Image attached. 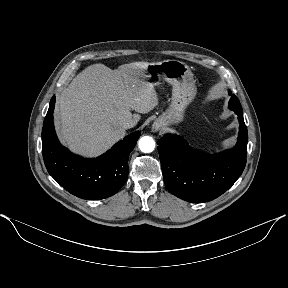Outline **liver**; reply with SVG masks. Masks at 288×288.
<instances>
[{
  "mask_svg": "<svg viewBox=\"0 0 288 288\" xmlns=\"http://www.w3.org/2000/svg\"><path fill=\"white\" fill-rule=\"evenodd\" d=\"M148 63L123 64L112 70L94 64L79 73L59 98L60 138L75 153L97 156L122 139L123 123L140 119L158 105L153 83L144 73Z\"/></svg>",
  "mask_w": 288,
  "mask_h": 288,
  "instance_id": "1",
  "label": "liver"
}]
</instances>
